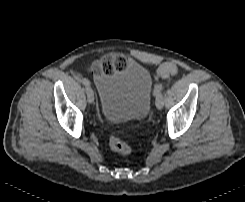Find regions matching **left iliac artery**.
I'll list each match as a JSON object with an SVG mask.
<instances>
[{"mask_svg":"<svg viewBox=\"0 0 245 202\" xmlns=\"http://www.w3.org/2000/svg\"><path fill=\"white\" fill-rule=\"evenodd\" d=\"M162 89H163V85L162 84L157 85L155 87L154 96H155L156 99L162 96Z\"/></svg>","mask_w":245,"mask_h":202,"instance_id":"obj_1","label":"left iliac artery"}]
</instances>
